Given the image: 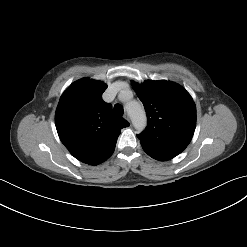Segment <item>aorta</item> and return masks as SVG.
Instances as JSON below:
<instances>
[{
	"instance_id": "obj_1",
	"label": "aorta",
	"mask_w": 247,
	"mask_h": 247,
	"mask_svg": "<svg viewBox=\"0 0 247 247\" xmlns=\"http://www.w3.org/2000/svg\"><path fill=\"white\" fill-rule=\"evenodd\" d=\"M125 93L130 94L129 91ZM126 108L130 115L133 126L138 131H142L146 127L147 123L146 114L142 105L137 101H131L127 104Z\"/></svg>"
}]
</instances>
